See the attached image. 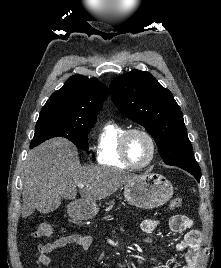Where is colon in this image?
<instances>
[{
	"mask_svg": "<svg viewBox=\"0 0 221 268\" xmlns=\"http://www.w3.org/2000/svg\"><path fill=\"white\" fill-rule=\"evenodd\" d=\"M183 203L182 197H175L171 200L170 207L172 209L179 208ZM53 232V226L50 223H42L39 225L33 233L35 238H42L51 235Z\"/></svg>",
	"mask_w": 221,
	"mask_h": 268,
	"instance_id": "colon-1",
	"label": "colon"
}]
</instances>
